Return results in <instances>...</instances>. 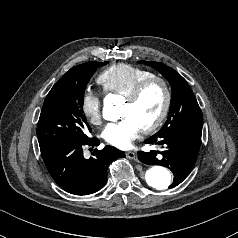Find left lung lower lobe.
<instances>
[{
    "label": "left lung lower lobe",
    "instance_id": "obj_1",
    "mask_svg": "<svg viewBox=\"0 0 238 238\" xmlns=\"http://www.w3.org/2000/svg\"><path fill=\"white\" fill-rule=\"evenodd\" d=\"M202 128L178 129L168 133L153 135L144 143L157 145L161 151L138 152L141 162L148 165H163L174 175L169 188L176 187L192 171L201 146ZM160 154V155H158Z\"/></svg>",
    "mask_w": 238,
    "mask_h": 238
}]
</instances>
